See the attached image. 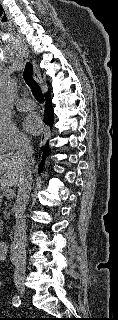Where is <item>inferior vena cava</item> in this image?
<instances>
[{"instance_id": "obj_1", "label": "inferior vena cava", "mask_w": 118, "mask_h": 320, "mask_svg": "<svg viewBox=\"0 0 118 320\" xmlns=\"http://www.w3.org/2000/svg\"><path fill=\"white\" fill-rule=\"evenodd\" d=\"M33 147L30 140L22 138L19 141L17 156L18 159L24 164V172L21 177L18 193L12 212L16 218V225L14 230V240L16 243V257L14 260V282L19 283L24 281L26 272V221L24 212L29 200V195L32 189V166Z\"/></svg>"}]
</instances>
